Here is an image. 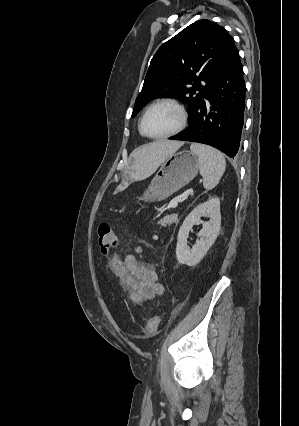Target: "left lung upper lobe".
<instances>
[{"instance_id": "5c2ea615", "label": "left lung upper lobe", "mask_w": 299, "mask_h": 426, "mask_svg": "<svg viewBox=\"0 0 299 426\" xmlns=\"http://www.w3.org/2000/svg\"><path fill=\"white\" fill-rule=\"evenodd\" d=\"M235 50L234 39L222 26L206 19L189 25L155 53L132 117L152 99L172 97L190 106V119L217 72Z\"/></svg>"}]
</instances>
